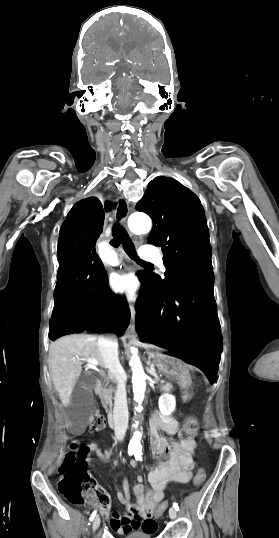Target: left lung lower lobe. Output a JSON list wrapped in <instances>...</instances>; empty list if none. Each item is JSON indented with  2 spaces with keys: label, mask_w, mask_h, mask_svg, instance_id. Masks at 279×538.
<instances>
[{
  "label": "left lung lower lobe",
  "mask_w": 279,
  "mask_h": 538,
  "mask_svg": "<svg viewBox=\"0 0 279 538\" xmlns=\"http://www.w3.org/2000/svg\"><path fill=\"white\" fill-rule=\"evenodd\" d=\"M213 285V273L182 282L164 294H155L145 282L136 305L141 338L188 359L211 383L222 351Z\"/></svg>",
  "instance_id": "left-lung-lower-lobe-1"
}]
</instances>
